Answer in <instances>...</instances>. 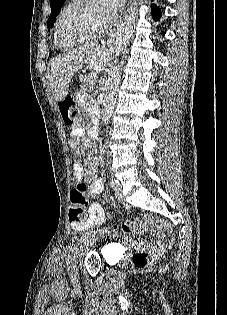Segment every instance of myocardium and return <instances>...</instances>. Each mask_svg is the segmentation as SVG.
<instances>
[{"label": "myocardium", "instance_id": "myocardium-1", "mask_svg": "<svg viewBox=\"0 0 227 315\" xmlns=\"http://www.w3.org/2000/svg\"><path fill=\"white\" fill-rule=\"evenodd\" d=\"M89 0H75V2L65 11V13L61 16V18L57 21L55 27V39L63 48H72L79 45L84 44L85 42L95 40L99 38L105 31L107 26H104L101 30L96 32L95 34L87 35L83 39L79 41H67L62 36V27L63 25L73 16L75 15L85 4H87Z\"/></svg>", "mask_w": 227, "mask_h": 315}]
</instances>
